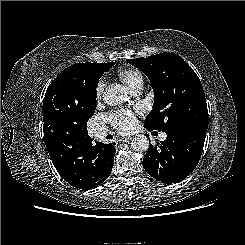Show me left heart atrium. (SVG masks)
<instances>
[{
  "instance_id": "1",
  "label": "left heart atrium",
  "mask_w": 245,
  "mask_h": 245,
  "mask_svg": "<svg viewBox=\"0 0 245 245\" xmlns=\"http://www.w3.org/2000/svg\"><path fill=\"white\" fill-rule=\"evenodd\" d=\"M108 121L121 133H128L136 127V117L130 110H118L107 115Z\"/></svg>"
}]
</instances>
